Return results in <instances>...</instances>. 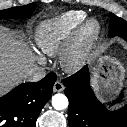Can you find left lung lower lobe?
<instances>
[{
	"label": "left lung lower lobe",
	"mask_w": 127,
	"mask_h": 127,
	"mask_svg": "<svg viewBox=\"0 0 127 127\" xmlns=\"http://www.w3.org/2000/svg\"><path fill=\"white\" fill-rule=\"evenodd\" d=\"M120 37L127 41V34ZM64 85L69 127H127V105L110 111L98 101L90 86L88 66L64 79Z\"/></svg>",
	"instance_id": "obj_1"
}]
</instances>
